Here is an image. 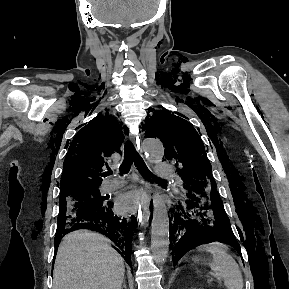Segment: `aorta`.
<instances>
[{
  "mask_svg": "<svg viewBox=\"0 0 289 289\" xmlns=\"http://www.w3.org/2000/svg\"><path fill=\"white\" fill-rule=\"evenodd\" d=\"M143 152L150 163H159L164 157V146L158 139H145ZM151 251L158 265L164 264L169 252V218L166 204L156 192L153 197V219L151 230Z\"/></svg>",
  "mask_w": 289,
  "mask_h": 289,
  "instance_id": "762f6f07",
  "label": "aorta"
}]
</instances>
